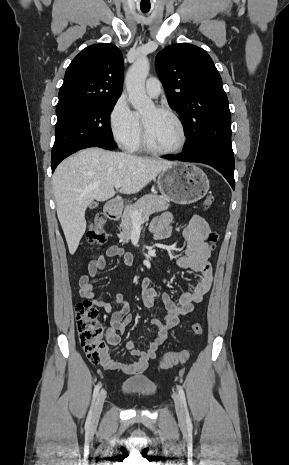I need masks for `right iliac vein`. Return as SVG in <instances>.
<instances>
[{"mask_svg": "<svg viewBox=\"0 0 289 465\" xmlns=\"http://www.w3.org/2000/svg\"><path fill=\"white\" fill-rule=\"evenodd\" d=\"M105 398H106V391L104 389H102L100 391V393L98 394V396H97V400H96L95 407H94V410H93V416H92V421L93 422L98 421V419L100 417V414L102 412V408H103Z\"/></svg>", "mask_w": 289, "mask_h": 465, "instance_id": "obj_1", "label": "right iliac vein"}]
</instances>
